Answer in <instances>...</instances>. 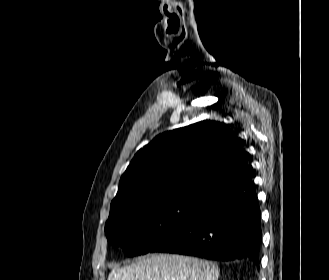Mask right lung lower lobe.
Instances as JSON below:
<instances>
[{"instance_id": "98d812e1", "label": "right lung lower lobe", "mask_w": 329, "mask_h": 280, "mask_svg": "<svg viewBox=\"0 0 329 280\" xmlns=\"http://www.w3.org/2000/svg\"><path fill=\"white\" fill-rule=\"evenodd\" d=\"M260 221L252 167L246 164L213 183L185 222L150 252L249 259L259 267Z\"/></svg>"}]
</instances>
